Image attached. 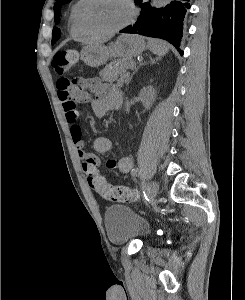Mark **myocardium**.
<instances>
[{"mask_svg": "<svg viewBox=\"0 0 245 300\" xmlns=\"http://www.w3.org/2000/svg\"><path fill=\"white\" fill-rule=\"evenodd\" d=\"M92 2V0H83V3L78 11V22L79 25L81 26V28L88 34V35H93V36H109V35H113L115 33L120 32L121 30L125 29L126 27H128L130 24L133 23V21L135 20L136 16H137V8L133 2V0H125V2L127 3V5L130 8V16L129 18L121 25L110 29V30H103V31H98V30H92L90 29L86 22H85V18H84V13L85 10L87 8V6Z\"/></svg>", "mask_w": 245, "mask_h": 300, "instance_id": "f54148a6", "label": "myocardium"}]
</instances>
